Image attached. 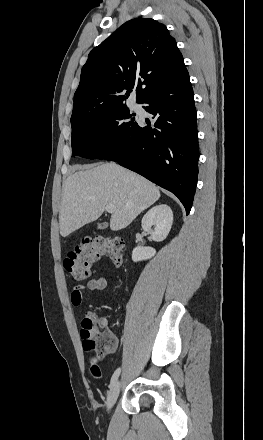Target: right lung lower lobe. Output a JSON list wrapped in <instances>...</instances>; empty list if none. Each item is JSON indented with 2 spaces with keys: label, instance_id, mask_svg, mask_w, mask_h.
<instances>
[{
  "label": "right lung lower lobe",
  "instance_id": "obj_1",
  "mask_svg": "<svg viewBox=\"0 0 263 440\" xmlns=\"http://www.w3.org/2000/svg\"><path fill=\"white\" fill-rule=\"evenodd\" d=\"M140 103L156 119L154 127L137 124L99 157L116 161L174 193L188 214L198 177V132L194 94L185 70L157 87Z\"/></svg>",
  "mask_w": 263,
  "mask_h": 440
}]
</instances>
